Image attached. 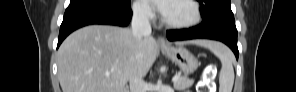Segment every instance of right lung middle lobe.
Returning a JSON list of instances; mask_svg holds the SVG:
<instances>
[{
  "label": "right lung middle lobe",
  "instance_id": "dd1d6c3e",
  "mask_svg": "<svg viewBox=\"0 0 296 92\" xmlns=\"http://www.w3.org/2000/svg\"><path fill=\"white\" fill-rule=\"evenodd\" d=\"M107 1L113 2L115 4H123L128 2V0H107Z\"/></svg>",
  "mask_w": 296,
  "mask_h": 92
}]
</instances>
